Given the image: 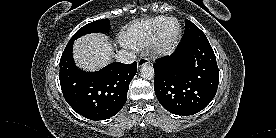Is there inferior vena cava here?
<instances>
[{
  "mask_svg": "<svg viewBox=\"0 0 276 138\" xmlns=\"http://www.w3.org/2000/svg\"><path fill=\"white\" fill-rule=\"evenodd\" d=\"M116 58L118 62H121L124 64H131L136 60V55L132 51L120 50L116 54Z\"/></svg>",
  "mask_w": 276,
  "mask_h": 138,
  "instance_id": "inferior-vena-cava-1",
  "label": "inferior vena cava"
}]
</instances>
